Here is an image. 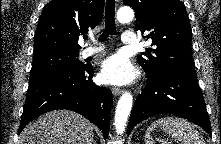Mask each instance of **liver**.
<instances>
[{
  "instance_id": "obj_1",
  "label": "liver",
  "mask_w": 221,
  "mask_h": 144,
  "mask_svg": "<svg viewBox=\"0 0 221 144\" xmlns=\"http://www.w3.org/2000/svg\"><path fill=\"white\" fill-rule=\"evenodd\" d=\"M93 125L68 110H55L29 123L19 136V144H93Z\"/></svg>"
}]
</instances>
